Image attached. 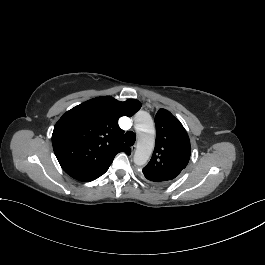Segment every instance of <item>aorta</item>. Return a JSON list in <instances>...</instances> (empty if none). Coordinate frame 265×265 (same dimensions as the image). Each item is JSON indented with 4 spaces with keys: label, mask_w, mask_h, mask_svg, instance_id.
Masks as SVG:
<instances>
[{
    "label": "aorta",
    "mask_w": 265,
    "mask_h": 265,
    "mask_svg": "<svg viewBox=\"0 0 265 265\" xmlns=\"http://www.w3.org/2000/svg\"><path fill=\"white\" fill-rule=\"evenodd\" d=\"M136 128L139 132L137 148L134 154V162L138 166L145 165L154 148V123L151 116L144 111L136 116Z\"/></svg>",
    "instance_id": "762f6f07"
}]
</instances>
